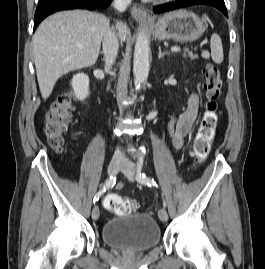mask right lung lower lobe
<instances>
[{
    "label": "right lung lower lobe",
    "mask_w": 265,
    "mask_h": 269,
    "mask_svg": "<svg viewBox=\"0 0 265 269\" xmlns=\"http://www.w3.org/2000/svg\"><path fill=\"white\" fill-rule=\"evenodd\" d=\"M111 0H40L34 18V30L39 23L48 15L68 9H89L107 8Z\"/></svg>",
    "instance_id": "98d812e1"
}]
</instances>
